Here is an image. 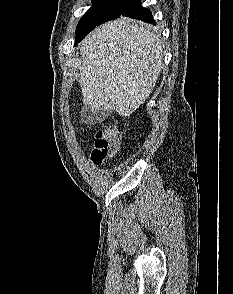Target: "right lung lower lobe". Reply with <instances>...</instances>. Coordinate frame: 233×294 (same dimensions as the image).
Segmentation results:
<instances>
[{
  "label": "right lung lower lobe",
  "mask_w": 233,
  "mask_h": 294,
  "mask_svg": "<svg viewBox=\"0 0 233 294\" xmlns=\"http://www.w3.org/2000/svg\"><path fill=\"white\" fill-rule=\"evenodd\" d=\"M122 16L142 20L148 23L155 24L156 22L153 20L152 13L149 9L144 8L141 6V0H132L128 6L125 8ZM94 29V28H93ZM93 29L87 31L86 33L80 35L79 37L75 38V45L80 42L90 31Z\"/></svg>",
  "instance_id": "right-lung-lower-lobe-1"
}]
</instances>
